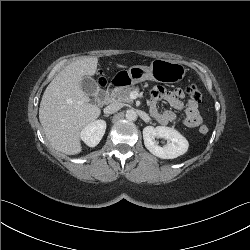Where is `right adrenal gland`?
<instances>
[{
  "label": "right adrenal gland",
  "mask_w": 250,
  "mask_h": 250,
  "mask_svg": "<svg viewBox=\"0 0 250 250\" xmlns=\"http://www.w3.org/2000/svg\"><path fill=\"white\" fill-rule=\"evenodd\" d=\"M104 117H109V114H105Z\"/></svg>",
  "instance_id": "2a0ac1e0"
}]
</instances>
